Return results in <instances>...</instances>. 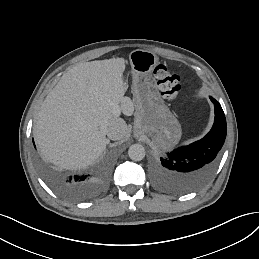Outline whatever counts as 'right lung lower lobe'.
<instances>
[{
	"label": "right lung lower lobe",
	"mask_w": 259,
	"mask_h": 259,
	"mask_svg": "<svg viewBox=\"0 0 259 259\" xmlns=\"http://www.w3.org/2000/svg\"><path fill=\"white\" fill-rule=\"evenodd\" d=\"M50 181L63 193L77 199H87L97 193L103 186L105 179H97L93 174L69 176L58 182L49 175Z\"/></svg>",
	"instance_id": "right-lung-lower-lobe-1"
}]
</instances>
